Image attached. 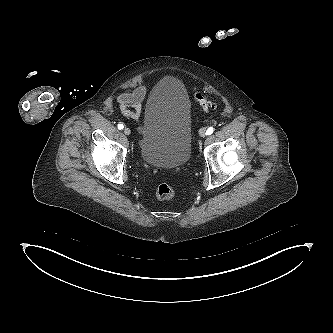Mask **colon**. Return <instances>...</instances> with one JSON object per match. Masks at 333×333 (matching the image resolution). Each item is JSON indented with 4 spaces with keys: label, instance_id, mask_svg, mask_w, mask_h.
<instances>
[{
    "label": "colon",
    "instance_id": "obj_1",
    "mask_svg": "<svg viewBox=\"0 0 333 333\" xmlns=\"http://www.w3.org/2000/svg\"><path fill=\"white\" fill-rule=\"evenodd\" d=\"M196 102L198 106L202 109H214L216 108V103L201 93L195 95ZM175 195L174 189L168 184H160L156 191V196L161 201L171 200Z\"/></svg>",
    "mask_w": 333,
    "mask_h": 333
}]
</instances>
